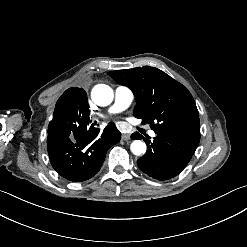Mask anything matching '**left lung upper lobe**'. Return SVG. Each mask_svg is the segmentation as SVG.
Masks as SVG:
<instances>
[{"instance_id":"left-lung-upper-lobe-1","label":"left lung upper lobe","mask_w":247,"mask_h":247,"mask_svg":"<svg viewBox=\"0 0 247 247\" xmlns=\"http://www.w3.org/2000/svg\"><path fill=\"white\" fill-rule=\"evenodd\" d=\"M108 75L133 91L134 116L150 123L156 134L175 136L198 146L199 113L185 86L150 66L110 71Z\"/></svg>"}]
</instances>
